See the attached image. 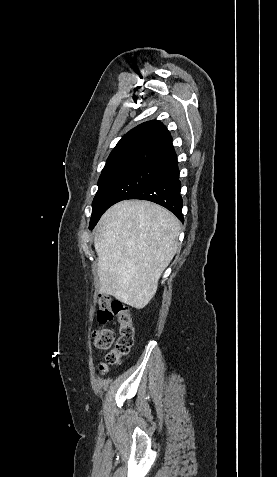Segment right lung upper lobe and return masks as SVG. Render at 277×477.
I'll list each match as a JSON object with an SVG mask.
<instances>
[{
	"mask_svg": "<svg viewBox=\"0 0 277 477\" xmlns=\"http://www.w3.org/2000/svg\"><path fill=\"white\" fill-rule=\"evenodd\" d=\"M176 156L169 131L160 121L152 120L138 125L122 137L102 172L127 165L161 168Z\"/></svg>",
	"mask_w": 277,
	"mask_h": 477,
	"instance_id": "cb5924a9",
	"label": "right lung upper lobe"
}]
</instances>
